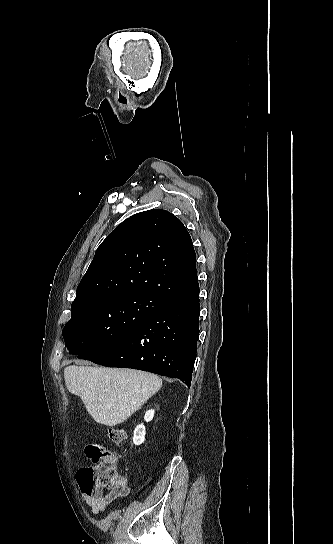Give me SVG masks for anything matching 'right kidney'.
Instances as JSON below:
<instances>
[{
	"label": "right kidney",
	"mask_w": 333,
	"mask_h": 544,
	"mask_svg": "<svg viewBox=\"0 0 333 544\" xmlns=\"http://www.w3.org/2000/svg\"><path fill=\"white\" fill-rule=\"evenodd\" d=\"M153 417H154V410L151 409L146 411L144 420L146 422H149L153 419ZM145 434H146L145 426L143 424L137 425L133 434V443L135 445H141L145 440Z\"/></svg>",
	"instance_id": "obj_1"
}]
</instances>
